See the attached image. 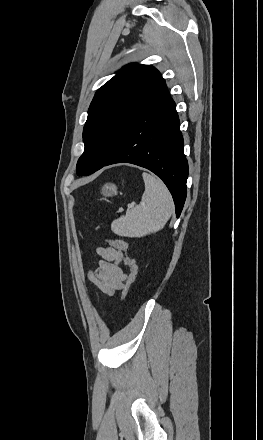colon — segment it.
Here are the masks:
<instances>
[{
	"label": "colon",
	"mask_w": 263,
	"mask_h": 440,
	"mask_svg": "<svg viewBox=\"0 0 263 440\" xmlns=\"http://www.w3.org/2000/svg\"><path fill=\"white\" fill-rule=\"evenodd\" d=\"M108 243L110 244L111 247L119 250L120 252L127 253V251H128L127 243L121 239L110 238L108 240ZM125 264L129 269V274H128V279H127V284L124 289L123 298H125L127 296V294L129 293L131 287L135 283L136 275H137V267H136L135 261L132 258H130L129 256H126L125 257Z\"/></svg>",
	"instance_id": "1"
}]
</instances>
